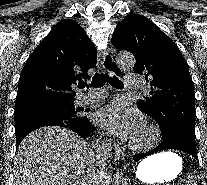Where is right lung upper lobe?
Masks as SVG:
<instances>
[{
	"label": "right lung upper lobe",
	"mask_w": 207,
	"mask_h": 185,
	"mask_svg": "<svg viewBox=\"0 0 207 185\" xmlns=\"http://www.w3.org/2000/svg\"><path fill=\"white\" fill-rule=\"evenodd\" d=\"M97 62V50L74 20L55 25L24 65L15 111L43 104L73 103L72 85L88 79Z\"/></svg>",
	"instance_id": "cb5924a9"
}]
</instances>
